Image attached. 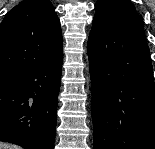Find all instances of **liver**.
Here are the masks:
<instances>
[{
    "label": "liver",
    "mask_w": 155,
    "mask_h": 149,
    "mask_svg": "<svg viewBox=\"0 0 155 149\" xmlns=\"http://www.w3.org/2000/svg\"><path fill=\"white\" fill-rule=\"evenodd\" d=\"M0 149H20V147L16 145H11L8 143L0 142Z\"/></svg>",
    "instance_id": "obj_1"
}]
</instances>
